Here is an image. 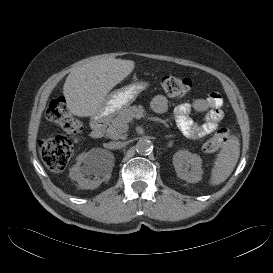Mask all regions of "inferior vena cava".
Returning <instances> with one entry per match:
<instances>
[{"instance_id": "602c4592", "label": "inferior vena cava", "mask_w": 273, "mask_h": 273, "mask_svg": "<svg viewBox=\"0 0 273 273\" xmlns=\"http://www.w3.org/2000/svg\"><path fill=\"white\" fill-rule=\"evenodd\" d=\"M126 146L125 142H121V141H116V142H111L110 147L112 149H121L123 147Z\"/></svg>"}]
</instances>
